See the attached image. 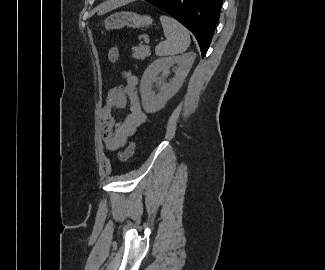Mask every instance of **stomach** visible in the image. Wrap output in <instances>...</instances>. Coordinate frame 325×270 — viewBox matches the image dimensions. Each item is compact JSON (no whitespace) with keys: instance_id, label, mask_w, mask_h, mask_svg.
Returning <instances> with one entry per match:
<instances>
[{"instance_id":"obj_1","label":"stomach","mask_w":325,"mask_h":270,"mask_svg":"<svg viewBox=\"0 0 325 270\" xmlns=\"http://www.w3.org/2000/svg\"><path fill=\"white\" fill-rule=\"evenodd\" d=\"M153 22L149 16H140L133 12H118L105 19L104 25L107 30L120 29L125 26L138 28L149 26Z\"/></svg>"}]
</instances>
